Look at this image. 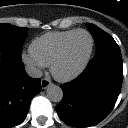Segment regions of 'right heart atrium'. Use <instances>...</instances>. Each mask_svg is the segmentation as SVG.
<instances>
[{
	"instance_id": "d8ad5b80",
	"label": "right heart atrium",
	"mask_w": 128,
	"mask_h": 128,
	"mask_svg": "<svg viewBox=\"0 0 128 128\" xmlns=\"http://www.w3.org/2000/svg\"><path fill=\"white\" fill-rule=\"evenodd\" d=\"M22 61L34 74H39L45 67L31 52H24Z\"/></svg>"
}]
</instances>
